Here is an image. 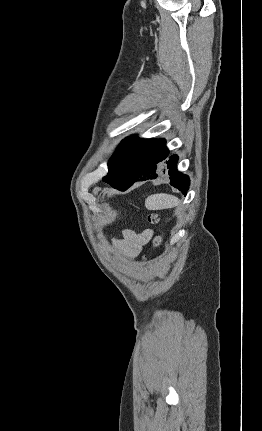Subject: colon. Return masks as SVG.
Listing matches in <instances>:
<instances>
[{
  "label": "colon",
  "instance_id": "1",
  "mask_svg": "<svg viewBox=\"0 0 262 431\" xmlns=\"http://www.w3.org/2000/svg\"><path fill=\"white\" fill-rule=\"evenodd\" d=\"M148 220L151 223H156L158 221V216L156 214H152ZM159 243H160V238H157L155 240V245H159Z\"/></svg>",
  "mask_w": 262,
  "mask_h": 431
}]
</instances>
